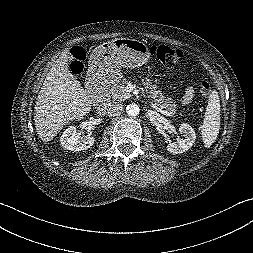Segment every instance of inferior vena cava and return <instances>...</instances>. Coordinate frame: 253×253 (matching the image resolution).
I'll return each instance as SVG.
<instances>
[{
	"label": "inferior vena cava",
	"mask_w": 253,
	"mask_h": 253,
	"mask_svg": "<svg viewBox=\"0 0 253 253\" xmlns=\"http://www.w3.org/2000/svg\"><path fill=\"white\" fill-rule=\"evenodd\" d=\"M123 109L122 104H114V105H104L103 107L99 108V111L102 113H107L109 116H116L121 113Z\"/></svg>",
	"instance_id": "602c4592"
}]
</instances>
